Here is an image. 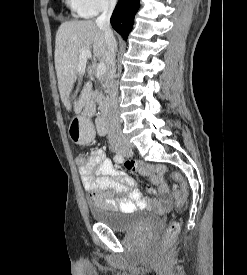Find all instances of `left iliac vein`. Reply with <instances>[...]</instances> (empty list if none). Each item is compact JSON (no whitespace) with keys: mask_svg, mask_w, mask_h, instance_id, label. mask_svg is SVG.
<instances>
[{"mask_svg":"<svg viewBox=\"0 0 247 275\" xmlns=\"http://www.w3.org/2000/svg\"><path fill=\"white\" fill-rule=\"evenodd\" d=\"M127 157H131L133 155V152L131 150H127L126 152L123 153Z\"/></svg>","mask_w":247,"mask_h":275,"instance_id":"4c4485c4","label":"left iliac vein"}]
</instances>
